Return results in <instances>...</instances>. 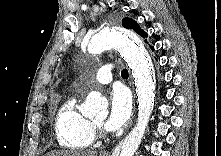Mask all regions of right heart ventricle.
Returning a JSON list of instances; mask_svg holds the SVG:
<instances>
[{
	"label": "right heart ventricle",
	"instance_id": "1",
	"mask_svg": "<svg viewBox=\"0 0 221 156\" xmlns=\"http://www.w3.org/2000/svg\"><path fill=\"white\" fill-rule=\"evenodd\" d=\"M54 127L57 142L63 148L81 150L94 141V125L78 110L75 97H69L60 106Z\"/></svg>",
	"mask_w": 221,
	"mask_h": 156
}]
</instances>
